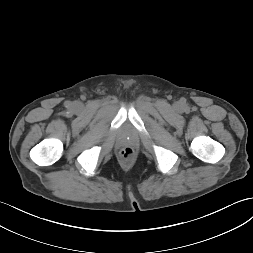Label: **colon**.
<instances>
[{
	"label": "colon",
	"mask_w": 253,
	"mask_h": 253,
	"mask_svg": "<svg viewBox=\"0 0 253 253\" xmlns=\"http://www.w3.org/2000/svg\"><path fill=\"white\" fill-rule=\"evenodd\" d=\"M134 153V149L132 147L127 146L121 149L120 156L124 160H130L133 158Z\"/></svg>",
	"instance_id": "1"
}]
</instances>
